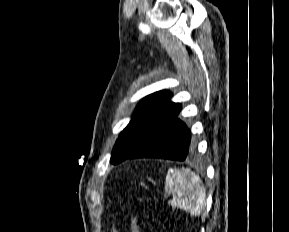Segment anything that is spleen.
<instances>
[{"label":"spleen","mask_w":289,"mask_h":232,"mask_svg":"<svg viewBox=\"0 0 289 232\" xmlns=\"http://www.w3.org/2000/svg\"><path fill=\"white\" fill-rule=\"evenodd\" d=\"M165 194H172L173 207L191 216H199L205 208L206 189L199 175L189 168H175L165 178Z\"/></svg>","instance_id":"3e777b00"}]
</instances>
